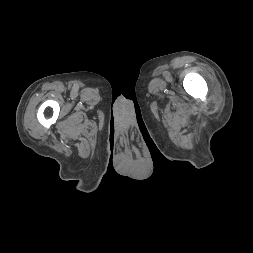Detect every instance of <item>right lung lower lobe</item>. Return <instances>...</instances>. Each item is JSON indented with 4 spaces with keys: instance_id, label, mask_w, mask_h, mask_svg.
I'll list each match as a JSON object with an SVG mask.
<instances>
[{
    "instance_id": "obj_1",
    "label": "right lung lower lobe",
    "mask_w": 253,
    "mask_h": 253,
    "mask_svg": "<svg viewBox=\"0 0 253 253\" xmlns=\"http://www.w3.org/2000/svg\"><path fill=\"white\" fill-rule=\"evenodd\" d=\"M150 152H151V155L152 157H163V155L160 153V151L157 149V147L154 145L152 147H150Z\"/></svg>"
}]
</instances>
